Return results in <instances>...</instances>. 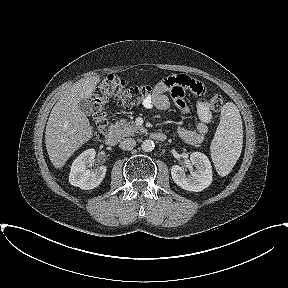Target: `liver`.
Instances as JSON below:
<instances>
[{
    "label": "liver",
    "instance_id": "1",
    "mask_svg": "<svg viewBox=\"0 0 288 288\" xmlns=\"http://www.w3.org/2000/svg\"><path fill=\"white\" fill-rule=\"evenodd\" d=\"M100 77L82 78L66 89L54 105L45 131V144L51 163L62 168L83 144L93 137V128L79 103L91 97Z\"/></svg>",
    "mask_w": 288,
    "mask_h": 288
}]
</instances>
